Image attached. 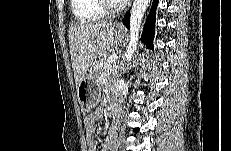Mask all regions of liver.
Returning a JSON list of instances; mask_svg holds the SVG:
<instances>
[{
    "label": "liver",
    "mask_w": 231,
    "mask_h": 151,
    "mask_svg": "<svg viewBox=\"0 0 231 151\" xmlns=\"http://www.w3.org/2000/svg\"><path fill=\"white\" fill-rule=\"evenodd\" d=\"M76 88L97 58L107 54L114 44L112 22H82L68 31Z\"/></svg>",
    "instance_id": "obj_1"
}]
</instances>
